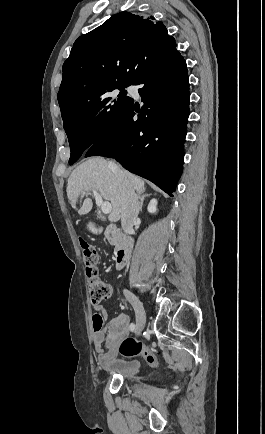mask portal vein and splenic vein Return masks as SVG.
I'll use <instances>...</instances> for the list:
<instances>
[{
	"label": "portal vein and splenic vein",
	"mask_w": 265,
	"mask_h": 434,
	"mask_svg": "<svg viewBox=\"0 0 265 434\" xmlns=\"http://www.w3.org/2000/svg\"><path fill=\"white\" fill-rule=\"evenodd\" d=\"M93 194L95 196L96 206H99V208H101L103 214H110L112 210L110 202H103L100 194H98V192H95V190H93Z\"/></svg>",
	"instance_id": "18ae733b"
}]
</instances>
